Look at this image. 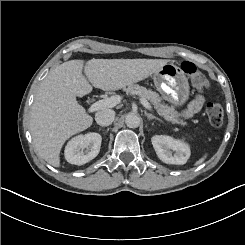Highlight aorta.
Here are the masks:
<instances>
[{"label": "aorta", "mask_w": 245, "mask_h": 245, "mask_svg": "<svg viewBox=\"0 0 245 245\" xmlns=\"http://www.w3.org/2000/svg\"><path fill=\"white\" fill-rule=\"evenodd\" d=\"M125 123L129 128H137L140 125V117L135 113H129L125 118Z\"/></svg>", "instance_id": "obj_1"}]
</instances>
